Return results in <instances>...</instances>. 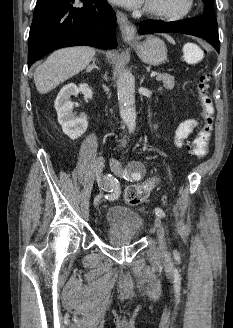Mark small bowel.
Returning a JSON list of instances; mask_svg holds the SVG:
<instances>
[{
    "label": "small bowel",
    "mask_w": 233,
    "mask_h": 328,
    "mask_svg": "<svg viewBox=\"0 0 233 328\" xmlns=\"http://www.w3.org/2000/svg\"><path fill=\"white\" fill-rule=\"evenodd\" d=\"M198 125L199 123L195 119H186L182 121L174 133L175 145L181 147L194 129L198 127Z\"/></svg>",
    "instance_id": "obj_1"
}]
</instances>
